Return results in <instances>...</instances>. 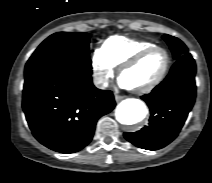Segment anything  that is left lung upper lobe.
<instances>
[{"label": "left lung upper lobe", "instance_id": "obj_1", "mask_svg": "<svg viewBox=\"0 0 212 183\" xmlns=\"http://www.w3.org/2000/svg\"><path fill=\"white\" fill-rule=\"evenodd\" d=\"M163 39L168 43L173 53L174 59L177 60L182 55L188 53V49L185 44L176 37L165 34Z\"/></svg>", "mask_w": 212, "mask_h": 183}]
</instances>
